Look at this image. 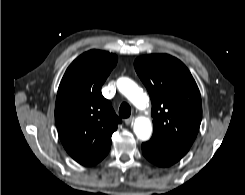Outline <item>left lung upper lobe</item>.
<instances>
[{
	"label": "left lung upper lobe",
	"instance_id": "left-lung-upper-lobe-1",
	"mask_svg": "<svg viewBox=\"0 0 245 195\" xmlns=\"http://www.w3.org/2000/svg\"><path fill=\"white\" fill-rule=\"evenodd\" d=\"M134 67L151 98L153 135L190 147L199 131L202 103L189 70L167 54L139 57Z\"/></svg>",
	"mask_w": 245,
	"mask_h": 195
}]
</instances>
